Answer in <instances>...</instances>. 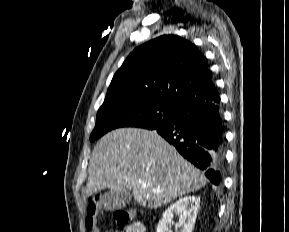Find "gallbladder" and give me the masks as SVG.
Here are the masks:
<instances>
[{"label":"gallbladder","instance_id":"obj_1","mask_svg":"<svg viewBox=\"0 0 289 232\" xmlns=\"http://www.w3.org/2000/svg\"><path fill=\"white\" fill-rule=\"evenodd\" d=\"M131 197L129 191L110 190L103 196L101 205L106 210H118L129 204Z\"/></svg>","mask_w":289,"mask_h":232}]
</instances>
